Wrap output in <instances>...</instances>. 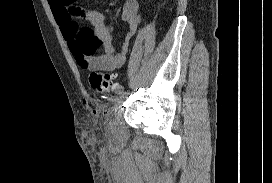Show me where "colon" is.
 I'll list each match as a JSON object with an SVG mask.
<instances>
[{"instance_id":"1","label":"colon","mask_w":272,"mask_h":183,"mask_svg":"<svg viewBox=\"0 0 272 183\" xmlns=\"http://www.w3.org/2000/svg\"><path fill=\"white\" fill-rule=\"evenodd\" d=\"M86 79L90 87L96 92H108L117 86L113 83V76L94 67H87Z\"/></svg>"}]
</instances>
